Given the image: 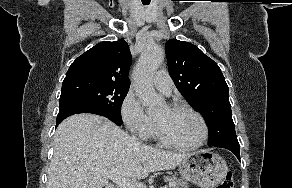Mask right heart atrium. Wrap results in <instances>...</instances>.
Masks as SVG:
<instances>
[{
    "label": "right heart atrium",
    "mask_w": 292,
    "mask_h": 188,
    "mask_svg": "<svg viewBox=\"0 0 292 188\" xmlns=\"http://www.w3.org/2000/svg\"><path fill=\"white\" fill-rule=\"evenodd\" d=\"M121 117L128 130L137 137L146 139L153 133V119L144 112L137 98L131 93L123 99Z\"/></svg>",
    "instance_id": "1"
}]
</instances>
